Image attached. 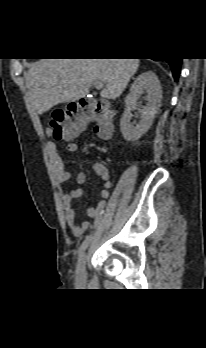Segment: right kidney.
Listing matches in <instances>:
<instances>
[{
	"label": "right kidney",
	"mask_w": 206,
	"mask_h": 348,
	"mask_svg": "<svg viewBox=\"0 0 206 348\" xmlns=\"http://www.w3.org/2000/svg\"><path fill=\"white\" fill-rule=\"evenodd\" d=\"M144 92L147 101L141 112L140 121L131 123V111L137 107V100ZM162 90L157 75L152 71L141 73L130 87L125 98L126 110L120 120V130L125 140L135 141L145 134L151 127L155 115L161 106Z\"/></svg>",
	"instance_id": "1"
}]
</instances>
